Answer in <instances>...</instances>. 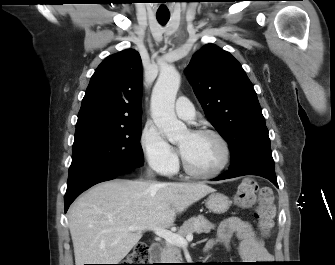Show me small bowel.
<instances>
[{"instance_id":"obj_1","label":"small bowel","mask_w":335,"mask_h":265,"mask_svg":"<svg viewBox=\"0 0 335 265\" xmlns=\"http://www.w3.org/2000/svg\"><path fill=\"white\" fill-rule=\"evenodd\" d=\"M234 237L238 240L237 251L246 263H265L271 260V254L265 249L253 226L236 217H230L221 222L216 239L208 242L207 249L217 244L229 249Z\"/></svg>"}]
</instances>
